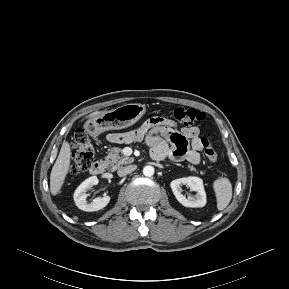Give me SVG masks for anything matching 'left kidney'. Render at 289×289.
Masks as SVG:
<instances>
[{
    "label": "left kidney",
    "mask_w": 289,
    "mask_h": 289,
    "mask_svg": "<svg viewBox=\"0 0 289 289\" xmlns=\"http://www.w3.org/2000/svg\"><path fill=\"white\" fill-rule=\"evenodd\" d=\"M182 185H186L192 191L196 192L195 196L186 197L182 193ZM173 194L179 203L185 207H203L206 205V193L203 186V180L199 177H184L175 179L170 184Z\"/></svg>",
    "instance_id": "left-kidney-1"
}]
</instances>
